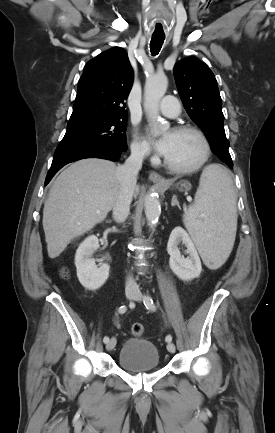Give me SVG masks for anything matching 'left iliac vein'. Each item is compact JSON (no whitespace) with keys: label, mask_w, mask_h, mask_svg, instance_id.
Wrapping results in <instances>:
<instances>
[{"label":"left iliac vein","mask_w":275,"mask_h":433,"mask_svg":"<svg viewBox=\"0 0 275 433\" xmlns=\"http://www.w3.org/2000/svg\"><path fill=\"white\" fill-rule=\"evenodd\" d=\"M142 298H143V296H142L141 293H136L135 296L133 297V300H135V301H141ZM167 350L170 353H174L175 350H176L175 345L172 342H168V344H167Z\"/></svg>","instance_id":"obj_1"}]
</instances>
